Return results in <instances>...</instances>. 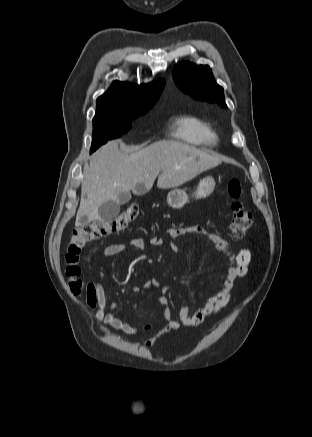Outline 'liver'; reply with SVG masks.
Returning <instances> with one entry per match:
<instances>
[{
    "label": "liver",
    "instance_id": "obj_1",
    "mask_svg": "<svg viewBox=\"0 0 312 437\" xmlns=\"http://www.w3.org/2000/svg\"><path fill=\"white\" fill-rule=\"evenodd\" d=\"M120 140H112L91 158L81 185V201L76 226L100 219L99 207L117 201L120 193L143 186L148 192L159 172L157 187H178L200 173L221 164V157L174 140L155 142L131 154L119 149Z\"/></svg>",
    "mask_w": 312,
    "mask_h": 437
}]
</instances>
